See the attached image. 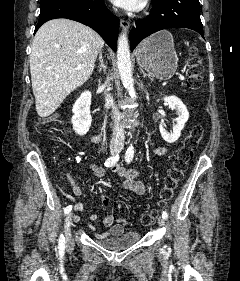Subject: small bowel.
I'll list each match as a JSON object with an SVG mask.
<instances>
[{
    "label": "small bowel",
    "mask_w": 240,
    "mask_h": 281,
    "mask_svg": "<svg viewBox=\"0 0 240 281\" xmlns=\"http://www.w3.org/2000/svg\"><path fill=\"white\" fill-rule=\"evenodd\" d=\"M158 155H163L166 152V149L164 147H160L156 150ZM91 170L93 175L98 178L101 179L105 176L106 171L103 167L97 166V165H92L91 166ZM112 171L117 174L118 176L122 177L124 179L123 181V187L126 190H129L131 192H133L136 195L142 196L145 194L146 192V188L144 186V184L139 181L137 179V171L134 169H126L121 165H116L112 167ZM66 180L69 182V184L72 187V191L76 196H82L83 195V189L77 185V183L75 182V180L73 179V177L71 176L70 173H66L65 175ZM101 198V202L102 205L104 207H107L110 203V199L109 197L102 193L100 195ZM74 210L75 211H79V212H84V205L80 202H77L74 204ZM97 219V215L96 214H90L88 216V220L90 221H94ZM74 220L76 222L81 220L80 216H75ZM103 225L106 228V231L102 234H97L100 237H107V236H118L121 235L124 231V226L115 223V219L111 214H107L104 218H103Z\"/></svg>",
    "instance_id": "obj_1"
}]
</instances>
